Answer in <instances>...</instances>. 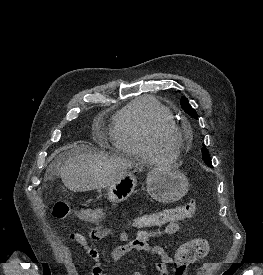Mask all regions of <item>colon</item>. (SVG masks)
<instances>
[{"mask_svg":"<svg viewBox=\"0 0 263 275\" xmlns=\"http://www.w3.org/2000/svg\"><path fill=\"white\" fill-rule=\"evenodd\" d=\"M195 209V203L190 201L174 208L138 216L133 220V226L136 228L160 227L179 222L191 217ZM52 214L58 219L73 215L77 219L89 223H97L104 219V210L100 207L76 210L62 202L55 204ZM208 252L209 243L204 238H195L185 242L178 248L173 257V275H186L189 266L205 257ZM197 275H203V269H200Z\"/></svg>","mask_w":263,"mask_h":275,"instance_id":"obj_1","label":"colon"}]
</instances>
